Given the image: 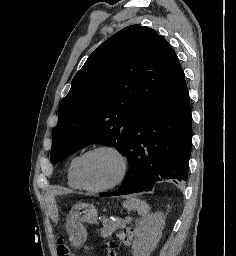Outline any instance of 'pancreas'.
<instances>
[{
    "instance_id": "cf45deb5",
    "label": "pancreas",
    "mask_w": 236,
    "mask_h": 256,
    "mask_svg": "<svg viewBox=\"0 0 236 256\" xmlns=\"http://www.w3.org/2000/svg\"><path fill=\"white\" fill-rule=\"evenodd\" d=\"M100 235H103V232H100Z\"/></svg>"
}]
</instances>
